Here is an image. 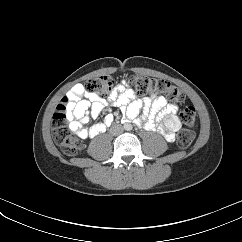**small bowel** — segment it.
<instances>
[{
	"label": "small bowel",
	"instance_id": "1",
	"mask_svg": "<svg viewBox=\"0 0 242 242\" xmlns=\"http://www.w3.org/2000/svg\"><path fill=\"white\" fill-rule=\"evenodd\" d=\"M60 105L71 129L82 139L96 136L111 125L114 116L107 114L103 121L88 126L107 105L119 107L126 120H135L138 125H144L147 129H155L162 121L160 132L170 142L174 141L175 132L181 126L177 117V105L167 103L165 98L158 94L136 99L132 90L121 84L107 99L96 93L86 92L81 85H76L62 98ZM141 110L143 114L137 118Z\"/></svg>",
	"mask_w": 242,
	"mask_h": 242
}]
</instances>
